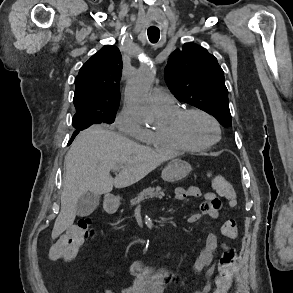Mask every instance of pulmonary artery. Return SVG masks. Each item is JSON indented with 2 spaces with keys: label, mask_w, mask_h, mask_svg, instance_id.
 Masks as SVG:
<instances>
[{
  "label": "pulmonary artery",
  "mask_w": 293,
  "mask_h": 293,
  "mask_svg": "<svg viewBox=\"0 0 293 293\" xmlns=\"http://www.w3.org/2000/svg\"><path fill=\"white\" fill-rule=\"evenodd\" d=\"M152 100L158 109H165L176 104L175 97L168 91L155 88L152 92Z\"/></svg>",
  "instance_id": "1"
}]
</instances>
